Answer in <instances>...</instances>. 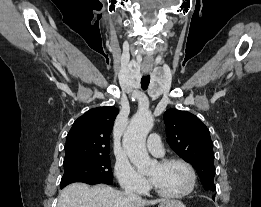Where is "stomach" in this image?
<instances>
[{"label":"stomach","mask_w":261,"mask_h":207,"mask_svg":"<svg viewBox=\"0 0 261 207\" xmlns=\"http://www.w3.org/2000/svg\"><path fill=\"white\" fill-rule=\"evenodd\" d=\"M158 207H186L182 202L174 199L162 201Z\"/></svg>","instance_id":"stomach-1"}]
</instances>
